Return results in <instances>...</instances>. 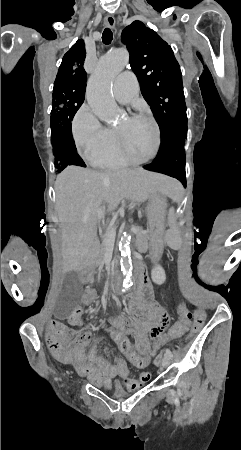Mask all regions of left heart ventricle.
<instances>
[{"label": "left heart ventricle", "mask_w": 241, "mask_h": 450, "mask_svg": "<svg viewBox=\"0 0 241 450\" xmlns=\"http://www.w3.org/2000/svg\"><path fill=\"white\" fill-rule=\"evenodd\" d=\"M132 121L123 122V140L126 141L125 146L129 150V156L136 160L130 162L132 169H137L143 160H152L154 148V133L157 127H153L154 118L145 112H141L132 116ZM120 127V123L117 126Z\"/></svg>", "instance_id": "left-heart-ventricle-1"}]
</instances>
